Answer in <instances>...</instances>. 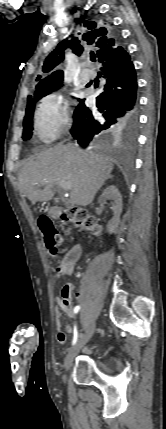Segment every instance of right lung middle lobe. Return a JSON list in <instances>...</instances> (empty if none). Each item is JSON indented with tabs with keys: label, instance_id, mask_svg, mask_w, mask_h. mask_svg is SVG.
I'll return each mask as SVG.
<instances>
[{
	"label": "right lung middle lobe",
	"instance_id": "dd1d6c3e",
	"mask_svg": "<svg viewBox=\"0 0 166 429\" xmlns=\"http://www.w3.org/2000/svg\"><path fill=\"white\" fill-rule=\"evenodd\" d=\"M62 86L61 83H55V84H40L36 87V92L34 96H30L27 99V108L25 113V118L23 121V140H28L32 136V129H33V114L35 110L36 101L41 99L43 96H46L50 94L51 92L55 91L59 87Z\"/></svg>",
	"mask_w": 166,
	"mask_h": 429
}]
</instances>
